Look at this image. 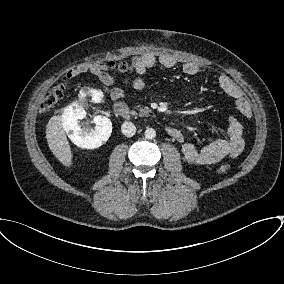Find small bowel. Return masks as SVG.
Listing matches in <instances>:
<instances>
[{
    "mask_svg": "<svg viewBox=\"0 0 284 284\" xmlns=\"http://www.w3.org/2000/svg\"><path fill=\"white\" fill-rule=\"evenodd\" d=\"M156 64L170 69L178 64V60L168 53L155 54L148 52L135 57L133 59L134 76L125 81L124 88H112L116 78L107 71L108 67L102 62L82 63L69 71L67 78L70 79L81 73L91 72L97 76L109 99L118 101L127 95L128 88L134 91H141L145 87L144 76L146 71ZM182 71L189 76H194L202 73L203 69L197 63L188 61L182 64ZM216 83L226 95L235 100L236 108L242 117L249 119L251 117L250 106L243 99L239 87L233 80L229 76L221 74L216 78ZM244 131L243 123L235 116H230L225 138L212 140L201 147L185 142L184 135L179 130H177V135L173 138L182 144L181 151L188 162L210 165L219 162L226 156L236 157L241 154L245 146Z\"/></svg>",
    "mask_w": 284,
    "mask_h": 284,
    "instance_id": "obj_1",
    "label": "small bowel"
}]
</instances>
